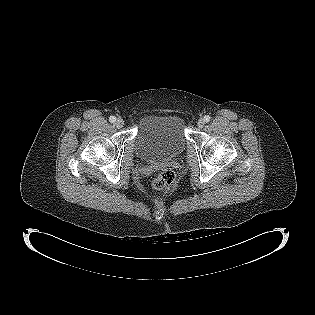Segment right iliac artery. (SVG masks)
<instances>
[{"label": "right iliac artery", "instance_id": "obj_1", "mask_svg": "<svg viewBox=\"0 0 315 315\" xmlns=\"http://www.w3.org/2000/svg\"><path fill=\"white\" fill-rule=\"evenodd\" d=\"M109 121L111 123H114L116 121V117L115 116H110Z\"/></svg>", "mask_w": 315, "mask_h": 315}]
</instances>
